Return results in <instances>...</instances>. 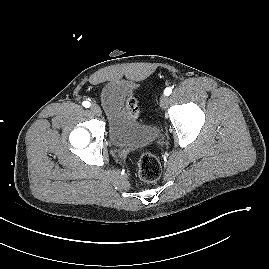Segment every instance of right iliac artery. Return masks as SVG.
Returning <instances> with one entry per match:
<instances>
[{
  "label": "right iliac artery",
  "instance_id": "1",
  "mask_svg": "<svg viewBox=\"0 0 269 269\" xmlns=\"http://www.w3.org/2000/svg\"><path fill=\"white\" fill-rule=\"evenodd\" d=\"M82 104L85 108H89L91 105L89 101H84Z\"/></svg>",
  "mask_w": 269,
  "mask_h": 269
}]
</instances>
